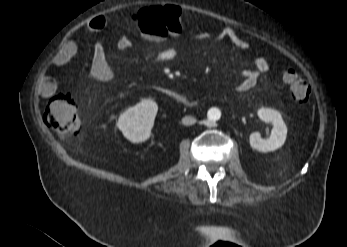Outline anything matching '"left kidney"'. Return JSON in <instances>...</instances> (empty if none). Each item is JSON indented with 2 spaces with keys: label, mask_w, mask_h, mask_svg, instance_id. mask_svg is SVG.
Wrapping results in <instances>:
<instances>
[{
  "label": "left kidney",
  "mask_w": 347,
  "mask_h": 247,
  "mask_svg": "<svg viewBox=\"0 0 347 247\" xmlns=\"http://www.w3.org/2000/svg\"><path fill=\"white\" fill-rule=\"evenodd\" d=\"M258 117L265 122L273 124L269 138H262L260 133L254 132L249 137L250 146L260 152H270L280 148L287 136V126L282 119L281 113L274 109L261 108Z\"/></svg>",
  "instance_id": "obj_1"
}]
</instances>
